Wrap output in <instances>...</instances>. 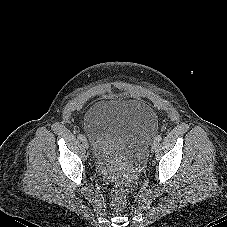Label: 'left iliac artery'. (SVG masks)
I'll return each instance as SVG.
<instances>
[{"instance_id":"44dca946","label":"left iliac artery","mask_w":227,"mask_h":227,"mask_svg":"<svg viewBox=\"0 0 227 227\" xmlns=\"http://www.w3.org/2000/svg\"><path fill=\"white\" fill-rule=\"evenodd\" d=\"M156 140H157V141H161V140H162V136H161V135H158V136L156 137Z\"/></svg>"}]
</instances>
